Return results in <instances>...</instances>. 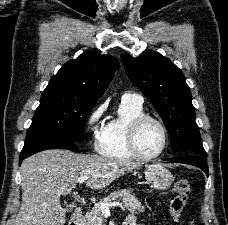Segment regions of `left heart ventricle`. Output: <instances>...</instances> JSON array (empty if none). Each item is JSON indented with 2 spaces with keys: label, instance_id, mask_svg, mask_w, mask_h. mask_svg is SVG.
<instances>
[{
  "label": "left heart ventricle",
  "instance_id": "1",
  "mask_svg": "<svg viewBox=\"0 0 228 225\" xmlns=\"http://www.w3.org/2000/svg\"><path fill=\"white\" fill-rule=\"evenodd\" d=\"M164 135L161 127L148 121L141 129L139 134V145L141 150L148 155L159 152L163 146Z\"/></svg>",
  "mask_w": 228,
  "mask_h": 225
}]
</instances>
